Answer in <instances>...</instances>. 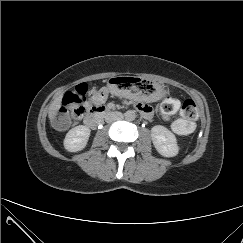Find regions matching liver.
<instances>
[{
    "mask_svg": "<svg viewBox=\"0 0 243 243\" xmlns=\"http://www.w3.org/2000/svg\"><path fill=\"white\" fill-rule=\"evenodd\" d=\"M62 97H63V94L60 95L59 97H57L53 102L52 104L50 105V109H49V113H48V116H49V119L52 121L55 116L57 115L58 113V110L61 106V100H62Z\"/></svg>",
    "mask_w": 243,
    "mask_h": 243,
    "instance_id": "6515ba94",
    "label": "liver"
}]
</instances>
